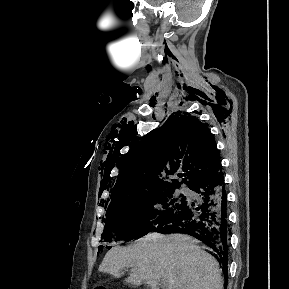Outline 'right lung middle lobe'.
<instances>
[{"instance_id": "right-lung-middle-lobe-1", "label": "right lung middle lobe", "mask_w": 289, "mask_h": 289, "mask_svg": "<svg viewBox=\"0 0 289 289\" xmlns=\"http://www.w3.org/2000/svg\"><path fill=\"white\" fill-rule=\"evenodd\" d=\"M156 202L163 204V212H154ZM186 204V197H176L174 188L155 190L117 202L108 207L102 239L109 241L113 235L116 240L140 238L176 215Z\"/></svg>"}]
</instances>
